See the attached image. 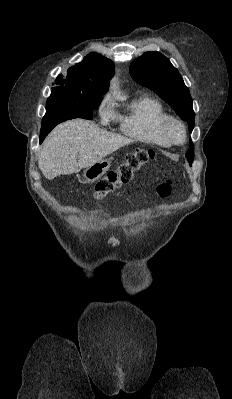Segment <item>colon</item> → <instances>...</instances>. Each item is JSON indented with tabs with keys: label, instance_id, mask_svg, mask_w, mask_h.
<instances>
[{
	"label": "colon",
	"instance_id": "colon-1",
	"mask_svg": "<svg viewBox=\"0 0 232 399\" xmlns=\"http://www.w3.org/2000/svg\"><path fill=\"white\" fill-rule=\"evenodd\" d=\"M148 159V154L144 150H139L133 153L126 163H115V168H118L115 174H107L108 180H95V189L92 192V197L96 201H101L104 197L113 191H116L120 185H128L132 179V174L140 168V165H145ZM171 186H157L153 189V194H166V191H171Z\"/></svg>",
	"mask_w": 232,
	"mask_h": 399
}]
</instances>
